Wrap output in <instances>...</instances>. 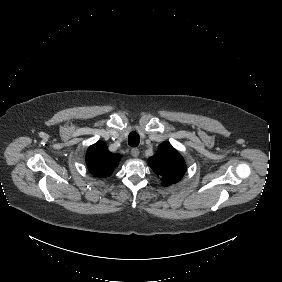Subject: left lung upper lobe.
Segmentation results:
<instances>
[{"label":"left lung upper lobe","mask_w":282,"mask_h":282,"mask_svg":"<svg viewBox=\"0 0 282 282\" xmlns=\"http://www.w3.org/2000/svg\"><path fill=\"white\" fill-rule=\"evenodd\" d=\"M148 162L154 172L161 177L163 186L179 181L186 171L183 157L169 142L161 143L156 154L149 158Z\"/></svg>","instance_id":"1"}]
</instances>
